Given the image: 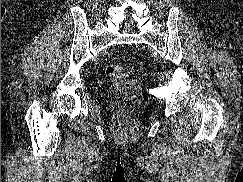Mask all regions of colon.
<instances>
[{"mask_svg":"<svg viewBox=\"0 0 243 182\" xmlns=\"http://www.w3.org/2000/svg\"><path fill=\"white\" fill-rule=\"evenodd\" d=\"M107 75L114 80L125 79L130 75V71L123 65L114 64L106 69Z\"/></svg>","mask_w":243,"mask_h":182,"instance_id":"colon-1","label":"colon"}]
</instances>
